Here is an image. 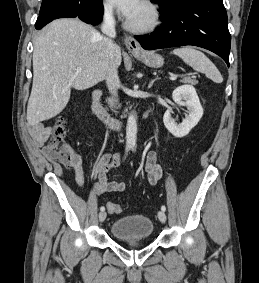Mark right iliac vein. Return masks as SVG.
Masks as SVG:
<instances>
[{
	"label": "right iliac vein",
	"mask_w": 259,
	"mask_h": 283,
	"mask_svg": "<svg viewBox=\"0 0 259 283\" xmlns=\"http://www.w3.org/2000/svg\"><path fill=\"white\" fill-rule=\"evenodd\" d=\"M107 213L105 211H102L99 213V221L103 222L106 219Z\"/></svg>",
	"instance_id": "63e3f726"
}]
</instances>
